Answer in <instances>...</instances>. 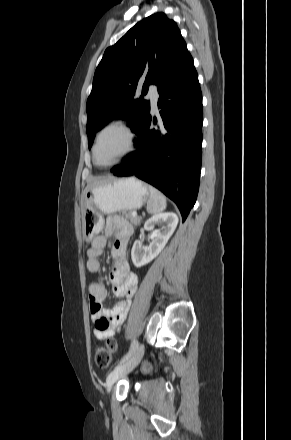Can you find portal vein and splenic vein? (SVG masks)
Masks as SVG:
<instances>
[{"mask_svg":"<svg viewBox=\"0 0 291 440\" xmlns=\"http://www.w3.org/2000/svg\"><path fill=\"white\" fill-rule=\"evenodd\" d=\"M133 217H137V213L135 211L132 212Z\"/></svg>","mask_w":291,"mask_h":440,"instance_id":"portal-vein-and-splenic-vein-1","label":"portal vein and splenic vein"}]
</instances>
